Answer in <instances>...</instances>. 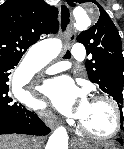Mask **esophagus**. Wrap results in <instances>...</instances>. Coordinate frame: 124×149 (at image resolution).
<instances>
[{
    "mask_svg": "<svg viewBox=\"0 0 124 149\" xmlns=\"http://www.w3.org/2000/svg\"><path fill=\"white\" fill-rule=\"evenodd\" d=\"M59 21H60V35L64 38L66 47L70 48L75 39V33L72 30V13L69 5L62 1L59 4ZM50 124L54 126V121L49 120Z\"/></svg>",
    "mask_w": 124,
    "mask_h": 149,
    "instance_id": "obj_1",
    "label": "esophagus"
}]
</instances>
